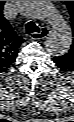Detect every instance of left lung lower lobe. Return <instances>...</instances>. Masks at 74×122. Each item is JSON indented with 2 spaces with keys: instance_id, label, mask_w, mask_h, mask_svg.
I'll return each mask as SVG.
<instances>
[{
  "instance_id": "obj_1",
  "label": "left lung lower lobe",
  "mask_w": 74,
  "mask_h": 122,
  "mask_svg": "<svg viewBox=\"0 0 74 122\" xmlns=\"http://www.w3.org/2000/svg\"><path fill=\"white\" fill-rule=\"evenodd\" d=\"M56 65L64 71L74 72V62L64 59L62 56L54 57Z\"/></svg>"
}]
</instances>
